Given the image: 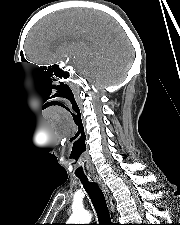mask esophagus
I'll use <instances>...</instances> for the list:
<instances>
[{
  "mask_svg": "<svg viewBox=\"0 0 180 225\" xmlns=\"http://www.w3.org/2000/svg\"><path fill=\"white\" fill-rule=\"evenodd\" d=\"M93 179L101 187L102 191L104 192V195H105L106 202H107V205L109 207V210L111 212H113L114 211V206H113V202H112V197L110 195L109 189L107 188L106 184L104 183L102 178L100 176H98V175L93 176Z\"/></svg>",
  "mask_w": 180,
  "mask_h": 225,
  "instance_id": "34e87169",
  "label": "esophagus"
}]
</instances>
